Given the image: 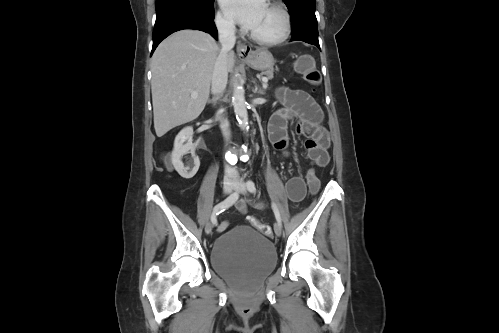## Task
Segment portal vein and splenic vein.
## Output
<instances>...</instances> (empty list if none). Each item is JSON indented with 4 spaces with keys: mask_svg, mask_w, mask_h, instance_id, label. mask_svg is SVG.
<instances>
[{
    "mask_svg": "<svg viewBox=\"0 0 499 333\" xmlns=\"http://www.w3.org/2000/svg\"><path fill=\"white\" fill-rule=\"evenodd\" d=\"M262 80H263V82H264L263 86H264V88H266V82H267L268 80H267L266 78H263ZM191 97H192V98H196V97H197V92H196V91H193V92L191 93Z\"/></svg>",
    "mask_w": 499,
    "mask_h": 333,
    "instance_id": "obj_1",
    "label": "portal vein and splenic vein"
}]
</instances>
